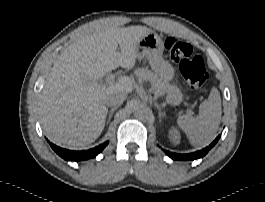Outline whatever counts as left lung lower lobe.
<instances>
[{"mask_svg": "<svg viewBox=\"0 0 265 202\" xmlns=\"http://www.w3.org/2000/svg\"><path fill=\"white\" fill-rule=\"evenodd\" d=\"M219 138L220 135L209 146L197 152L189 154H177L165 150V153L174 160H183V161L196 160L198 158H202L203 156H205L208 153V151L217 143Z\"/></svg>", "mask_w": 265, "mask_h": 202, "instance_id": "left-lung-lower-lobe-1", "label": "left lung lower lobe"}]
</instances>
